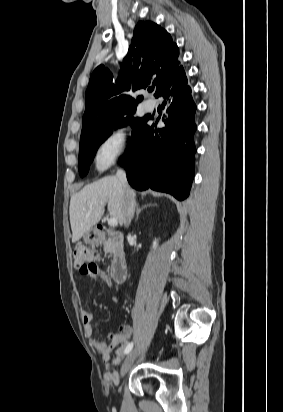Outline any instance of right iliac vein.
Instances as JSON below:
<instances>
[{
    "label": "right iliac vein",
    "mask_w": 283,
    "mask_h": 412,
    "mask_svg": "<svg viewBox=\"0 0 283 412\" xmlns=\"http://www.w3.org/2000/svg\"><path fill=\"white\" fill-rule=\"evenodd\" d=\"M142 351V345H138L135 349H133L128 356L125 358L122 367H121V376H124L129 369L131 368L135 359L140 355Z\"/></svg>",
    "instance_id": "63e3f726"
}]
</instances>
